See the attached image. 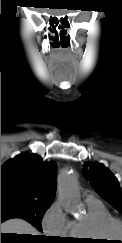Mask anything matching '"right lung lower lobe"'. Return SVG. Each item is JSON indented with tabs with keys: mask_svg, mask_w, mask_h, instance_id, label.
<instances>
[{
	"mask_svg": "<svg viewBox=\"0 0 122 243\" xmlns=\"http://www.w3.org/2000/svg\"><path fill=\"white\" fill-rule=\"evenodd\" d=\"M7 219H10V218L1 217V223L4 222V221L7 220ZM42 242H44V243H51L52 241H51V240H48V239H43Z\"/></svg>",
	"mask_w": 122,
	"mask_h": 243,
	"instance_id": "1",
	"label": "right lung lower lobe"
}]
</instances>
